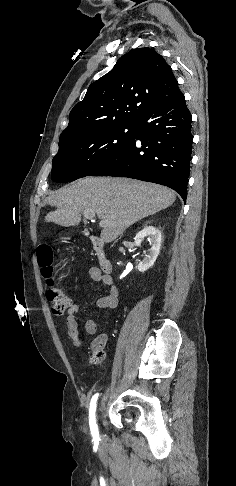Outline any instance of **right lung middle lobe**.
<instances>
[{
	"label": "right lung middle lobe",
	"mask_w": 236,
	"mask_h": 486,
	"mask_svg": "<svg viewBox=\"0 0 236 486\" xmlns=\"http://www.w3.org/2000/svg\"><path fill=\"white\" fill-rule=\"evenodd\" d=\"M136 125H116L91 131L59 143L52 162V179L66 183L88 176L108 158L130 144Z\"/></svg>",
	"instance_id": "dd1d6c3e"
}]
</instances>
